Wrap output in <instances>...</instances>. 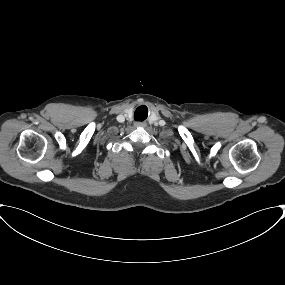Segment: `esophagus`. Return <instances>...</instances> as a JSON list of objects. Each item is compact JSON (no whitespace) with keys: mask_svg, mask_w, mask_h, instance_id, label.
<instances>
[{"mask_svg":"<svg viewBox=\"0 0 285 285\" xmlns=\"http://www.w3.org/2000/svg\"><path fill=\"white\" fill-rule=\"evenodd\" d=\"M135 126H136V127H144V126H145V123H144V122H136V123H135Z\"/></svg>","mask_w":285,"mask_h":285,"instance_id":"esophagus-1","label":"esophagus"}]
</instances>
